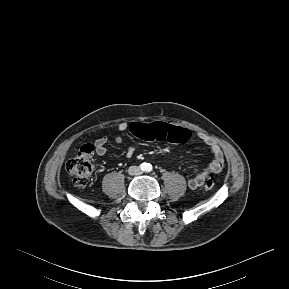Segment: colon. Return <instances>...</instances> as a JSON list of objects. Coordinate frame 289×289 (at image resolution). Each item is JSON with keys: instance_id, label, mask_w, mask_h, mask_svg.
<instances>
[{"instance_id": "colon-1", "label": "colon", "mask_w": 289, "mask_h": 289, "mask_svg": "<svg viewBox=\"0 0 289 289\" xmlns=\"http://www.w3.org/2000/svg\"><path fill=\"white\" fill-rule=\"evenodd\" d=\"M130 133L136 137H144L149 140H167L169 142H184L189 138V131L185 128L170 125L167 121L150 120L148 122L138 121L130 126ZM95 146L93 144L83 145L77 154L68 160L66 169L75 186L84 187L92 172V156ZM214 181H206L205 190L214 187Z\"/></svg>"}]
</instances>
